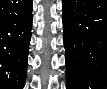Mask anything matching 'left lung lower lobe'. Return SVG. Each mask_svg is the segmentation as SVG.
<instances>
[{"label":"left lung lower lobe","mask_w":107,"mask_h":89,"mask_svg":"<svg viewBox=\"0 0 107 89\" xmlns=\"http://www.w3.org/2000/svg\"><path fill=\"white\" fill-rule=\"evenodd\" d=\"M67 89L107 86V1L63 0Z\"/></svg>","instance_id":"left-lung-lower-lobe-1"}]
</instances>
